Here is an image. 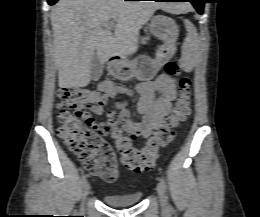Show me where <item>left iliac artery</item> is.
I'll return each instance as SVG.
<instances>
[{
    "label": "left iliac artery",
    "mask_w": 260,
    "mask_h": 217,
    "mask_svg": "<svg viewBox=\"0 0 260 217\" xmlns=\"http://www.w3.org/2000/svg\"><path fill=\"white\" fill-rule=\"evenodd\" d=\"M160 183L162 184V186H163V188H164V190H165V189H166V182H165V180H164L163 177L160 179ZM166 198H167V197H166ZM168 208H169V209H172L170 205H168Z\"/></svg>",
    "instance_id": "left-iliac-artery-1"
}]
</instances>
